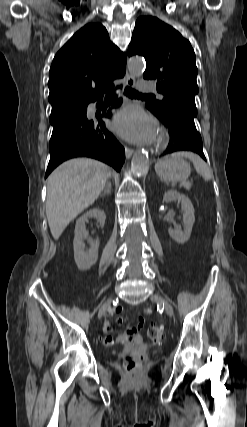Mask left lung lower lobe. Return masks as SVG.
Returning a JSON list of instances; mask_svg holds the SVG:
<instances>
[{"label":"left lung lower lobe","mask_w":247,"mask_h":427,"mask_svg":"<svg viewBox=\"0 0 247 427\" xmlns=\"http://www.w3.org/2000/svg\"><path fill=\"white\" fill-rule=\"evenodd\" d=\"M160 120L169 128L171 138L163 154L191 151L206 160L202 148V139L196 129L194 118L181 113H174Z\"/></svg>","instance_id":"0a47b994"}]
</instances>
